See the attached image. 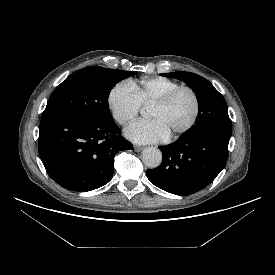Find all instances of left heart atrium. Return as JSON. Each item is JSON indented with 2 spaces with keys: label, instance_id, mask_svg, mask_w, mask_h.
Returning a JSON list of instances; mask_svg holds the SVG:
<instances>
[{
  "label": "left heart atrium",
  "instance_id": "39dd6f15",
  "mask_svg": "<svg viewBox=\"0 0 275 275\" xmlns=\"http://www.w3.org/2000/svg\"><path fill=\"white\" fill-rule=\"evenodd\" d=\"M124 133L128 139L140 144L164 141L170 136L163 124L156 119L137 120Z\"/></svg>",
  "mask_w": 275,
  "mask_h": 275
}]
</instances>
